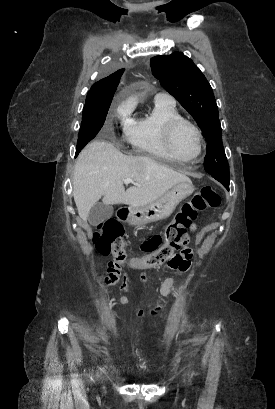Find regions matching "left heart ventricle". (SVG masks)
I'll return each mask as SVG.
<instances>
[{
    "mask_svg": "<svg viewBox=\"0 0 275 409\" xmlns=\"http://www.w3.org/2000/svg\"><path fill=\"white\" fill-rule=\"evenodd\" d=\"M173 147L178 157H192L195 155L197 151L196 139L188 126H182L176 131Z\"/></svg>",
    "mask_w": 275,
    "mask_h": 409,
    "instance_id": "b2bd125f",
    "label": "left heart ventricle"
}]
</instances>
